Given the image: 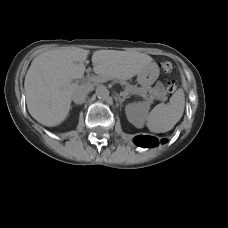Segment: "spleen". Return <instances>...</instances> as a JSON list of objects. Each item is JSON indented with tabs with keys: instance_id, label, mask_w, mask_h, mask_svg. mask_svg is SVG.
I'll return each instance as SVG.
<instances>
[{
	"instance_id": "spleen-1",
	"label": "spleen",
	"mask_w": 228,
	"mask_h": 228,
	"mask_svg": "<svg viewBox=\"0 0 228 228\" xmlns=\"http://www.w3.org/2000/svg\"><path fill=\"white\" fill-rule=\"evenodd\" d=\"M185 108V94L179 88L170 98L168 104L156 105L146 117V125L153 133L170 131L181 119Z\"/></svg>"
}]
</instances>
